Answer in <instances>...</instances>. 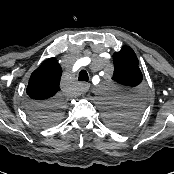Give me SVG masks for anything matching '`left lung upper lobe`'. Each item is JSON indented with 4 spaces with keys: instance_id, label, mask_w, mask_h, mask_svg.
<instances>
[{
    "instance_id": "left-lung-upper-lobe-1",
    "label": "left lung upper lobe",
    "mask_w": 174,
    "mask_h": 174,
    "mask_svg": "<svg viewBox=\"0 0 174 174\" xmlns=\"http://www.w3.org/2000/svg\"><path fill=\"white\" fill-rule=\"evenodd\" d=\"M114 73L112 79L125 86L136 87L142 81V73L138 67V59L129 46H123L113 54ZM141 95L135 94L127 98L125 106L112 110L107 115L108 124L117 131H125L136 121L141 111Z\"/></svg>"
}]
</instances>
